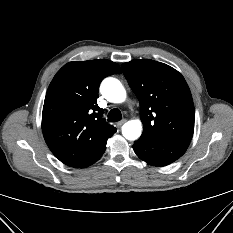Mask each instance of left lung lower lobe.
Instances as JSON below:
<instances>
[{
    "mask_svg": "<svg viewBox=\"0 0 233 233\" xmlns=\"http://www.w3.org/2000/svg\"><path fill=\"white\" fill-rule=\"evenodd\" d=\"M188 144L169 143L152 138H141L134 142L137 156L153 166H166L181 157Z\"/></svg>",
    "mask_w": 233,
    "mask_h": 233,
    "instance_id": "1",
    "label": "left lung lower lobe"
}]
</instances>
